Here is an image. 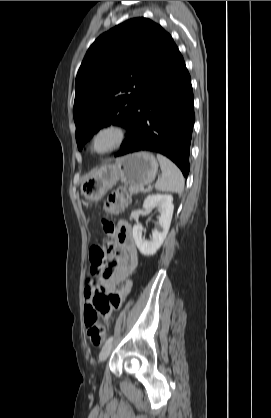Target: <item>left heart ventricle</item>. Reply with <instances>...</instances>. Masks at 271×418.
<instances>
[{
  "label": "left heart ventricle",
  "instance_id": "left-heart-ventricle-1",
  "mask_svg": "<svg viewBox=\"0 0 271 418\" xmlns=\"http://www.w3.org/2000/svg\"><path fill=\"white\" fill-rule=\"evenodd\" d=\"M104 142H105V140H102V141L100 142V146H102V145L104 144Z\"/></svg>",
  "mask_w": 271,
  "mask_h": 418
}]
</instances>
